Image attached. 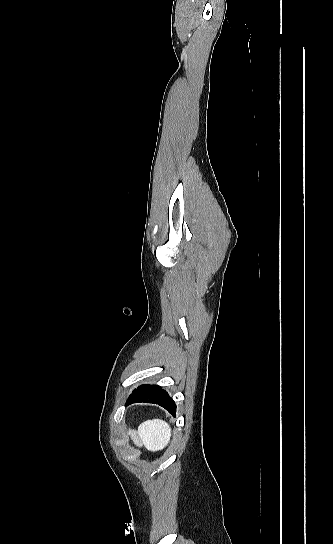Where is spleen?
Instances as JSON below:
<instances>
[{
	"label": "spleen",
	"instance_id": "1",
	"mask_svg": "<svg viewBox=\"0 0 333 544\" xmlns=\"http://www.w3.org/2000/svg\"><path fill=\"white\" fill-rule=\"evenodd\" d=\"M138 434L146 442L149 449L158 451L164 449L171 438V428L161 419H151L141 423Z\"/></svg>",
	"mask_w": 333,
	"mask_h": 544
}]
</instances>
